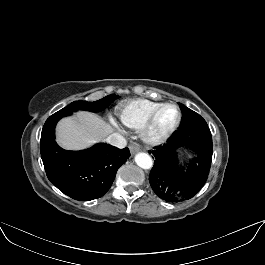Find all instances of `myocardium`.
<instances>
[{
    "label": "myocardium",
    "instance_id": "obj_1",
    "mask_svg": "<svg viewBox=\"0 0 265 265\" xmlns=\"http://www.w3.org/2000/svg\"><path fill=\"white\" fill-rule=\"evenodd\" d=\"M167 106H172L177 111V118L173 125L168 128L166 131L160 134L153 133V125L156 120L157 115L159 112ZM182 118V113L179 106L173 102H165L158 105L146 118L145 122L143 123L142 127L140 128V136L144 143L150 146H157L161 145L166 142L177 130L180 125Z\"/></svg>",
    "mask_w": 265,
    "mask_h": 265
}]
</instances>
